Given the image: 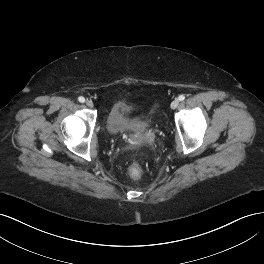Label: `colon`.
Wrapping results in <instances>:
<instances>
[{
  "instance_id": "colon-1",
  "label": "colon",
  "mask_w": 264,
  "mask_h": 264,
  "mask_svg": "<svg viewBox=\"0 0 264 264\" xmlns=\"http://www.w3.org/2000/svg\"><path fill=\"white\" fill-rule=\"evenodd\" d=\"M129 176L133 179H138L142 176L143 170L138 163H132L128 169Z\"/></svg>"
}]
</instances>
